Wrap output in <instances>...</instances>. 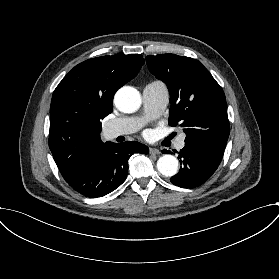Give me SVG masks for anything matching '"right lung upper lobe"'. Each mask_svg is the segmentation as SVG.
Returning a JSON list of instances; mask_svg holds the SVG:
<instances>
[{"label": "right lung upper lobe", "mask_w": 279, "mask_h": 279, "mask_svg": "<svg viewBox=\"0 0 279 279\" xmlns=\"http://www.w3.org/2000/svg\"><path fill=\"white\" fill-rule=\"evenodd\" d=\"M142 55L88 59L75 66L54 90L50 106L49 148L64 178L87 165L106 144L101 119L112 112L115 92L136 77Z\"/></svg>", "instance_id": "obj_1"}]
</instances>
